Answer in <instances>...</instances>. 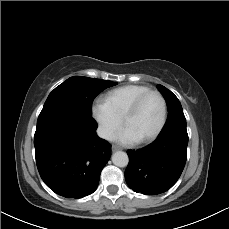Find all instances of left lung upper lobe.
<instances>
[{"mask_svg": "<svg viewBox=\"0 0 229 229\" xmlns=\"http://www.w3.org/2000/svg\"><path fill=\"white\" fill-rule=\"evenodd\" d=\"M157 87L164 96L168 108V119L166 121L163 133L174 129L177 126H186V119L178 98L166 87L162 85H158Z\"/></svg>", "mask_w": 229, "mask_h": 229, "instance_id": "obj_1", "label": "left lung upper lobe"}]
</instances>
